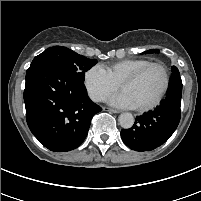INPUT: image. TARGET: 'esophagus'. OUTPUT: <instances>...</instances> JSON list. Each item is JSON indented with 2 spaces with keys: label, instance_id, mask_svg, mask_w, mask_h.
Here are the masks:
<instances>
[{
  "label": "esophagus",
  "instance_id": "obj_1",
  "mask_svg": "<svg viewBox=\"0 0 201 201\" xmlns=\"http://www.w3.org/2000/svg\"><path fill=\"white\" fill-rule=\"evenodd\" d=\"M104 111H108L110 113H119V110L113 109V108H109V107H104L103 108Z\"/></svg>",
  "mask_w": 201,
  "mask_h": 201
}]
</instances>
